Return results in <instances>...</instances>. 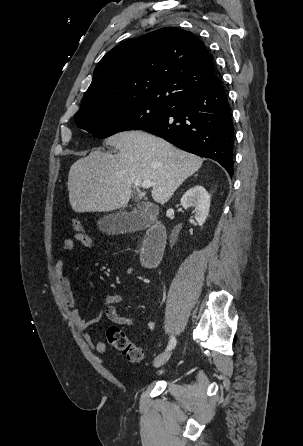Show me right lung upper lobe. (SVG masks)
<instances>
[{
  "mask_svg": "<svg viewBox=\"0 0 303 446\" xmlns=\"http://www.w3.org/2000/svg\"><path fill=\"white\" fill-rule=\"evenodd\" d=\"M219 81L213 57L197 36L161 28L114 47L99 61L78 112L132 101L173 106Z\"/></svg>",
  "mask_w": 303,
  "mask_h": 446,
  "instance_id": "cb5924a9",
  "label": "right lung upper lobe"
}]
</instances>
